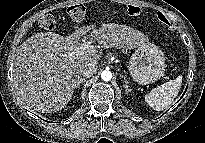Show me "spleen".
<instances>
[{"label":"spleen","instance_id":"spleen-1","mask_svg":"<svg viewBox=\"0 0 205 143\" xmlns=\"http://www.w3.org/2000/svg\"><path fill=\"white\" fill-rule=\"evenodd\" d=\"M182 85V76L170 80L145 95L147 104L156 111L168 108L178 95Z\"/></svg>","mask_w":205,"mask_h":143}]
</instances>
